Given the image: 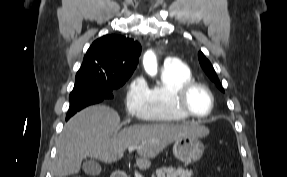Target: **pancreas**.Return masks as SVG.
I'll return each mask as SVG.
<instances>
[{
    "label": "pancreas",
    "instance_id": "1",
    "mask_svg": "<svg viewBox=\"0 0 287 177\" xmlns=\"http://www.w3.org/2000/svg\"><path fill=\"white\" fill-rule=\"evenodd\" d=\"M192 171L191 170H185L183 168H160L158 170H156L155 175H153L152 177H191L192 176Z\"/></svg>",
    "mask_w": 287,
    "mask_h": 177
}]
</instances>
